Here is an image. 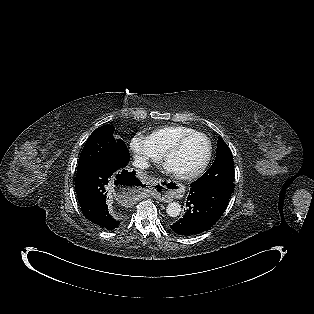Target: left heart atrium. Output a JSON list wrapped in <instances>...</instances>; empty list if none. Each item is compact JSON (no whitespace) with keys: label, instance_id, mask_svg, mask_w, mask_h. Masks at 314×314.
<instances>
[{"label":"left heart atrium","instance_id":"obj_1","mask_svg":"<svg viewBox=\"0 0 314 314\" xmlns=\"http://www.w3.org/2000/svg\"><path fill=\"white\" fill-rule=\"evenodd\" d=\"M166 171H167L168 173L173 172V170H172L169 166L166 168Z\"/></svg>","mask_w":314,"mask_h":314}]
</instances>
